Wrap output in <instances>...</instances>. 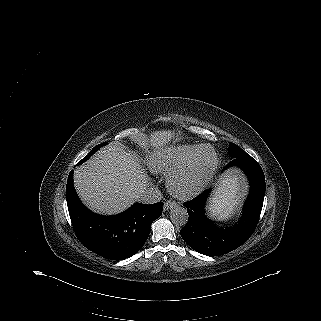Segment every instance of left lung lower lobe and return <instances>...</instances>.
<instances>
[{"label": "left lung lower lobe", "instance_id": "1", "mask_svg": "<svg viewBox=\"0 0 321 321\" xmlns=\"http://www.w3.org/2000/svg\"><path fill=\"white\" fill-rule=\"evenodd\" d=\"M231 166L240 167L250 182V193L237 225L219 228L206 217L204 205L211 190L207 189L183 204L187 208L189 220L181 229V236L192 249L203 255L218 256L238 248L252 235L260 217L265 195L262 168L250 155L234 158L225 169Z\"/></svg>", "mask_w": 321, "mask_h": 321}]
</instances>
